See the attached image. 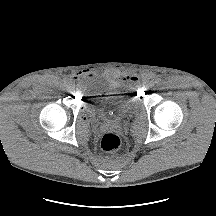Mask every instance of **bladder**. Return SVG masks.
Instances as JSON below:
<instances>
[{
  "label": "bladder",
  "mask_w": 216,
  "mask_h": 216,
  "mask_svg": "<svg viewBox=\"0 0 216 216\" xmlns=\"http://www.w3.org/2000/svg\"><path fill=\"white\" fill-rule=\"evenodd\" d=\"M86 93L90 105L98 109L100 115L106 119L128 116L137 106V100L133 96L109 91L103 86L87 87Z\"/></svg>",
  "instance_id": "1"
}]
</instances>
